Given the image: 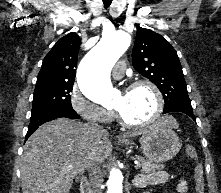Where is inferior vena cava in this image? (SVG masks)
Here are the masks:
<instances>
[{"label": "inferior vena cava", "mask_w": 221, "mask_h": 193, "mask_svg": "<svg viewBox=\"0 0 221 193\" xmlns=\"http://www.w3.org/2000/svg\"><path fill=\"white\" fill-rule=\"evenodd\" d=\"M87 125L96 131L106 132L95 123H89ZM88 169L90 171L89 178H90L91 193H102L100 188L101 185L100 169L97 167V164L95 162H91L88 165Z\"/></svg>", "instance_id": "602c4592"}]
</instances>
